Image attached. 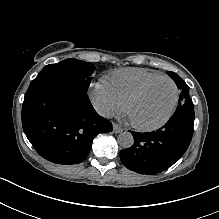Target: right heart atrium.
<instances>
[{
    "instance_id": "obj_1",
    "label": "right heart atrium",
    "mask_w": 219,
    "mask_h": 219,
    "mask_svg": "<svg viewBox=\"0 0 219 219\" xmlns=\"http://www.w3.org/2000/svg\"><path fill=\"white\" fill-rule=\"evenodd\" d=\"M89 95L95 109L103 117L110 118L122 113L123 104L113 95L104 81L94 84Z\"/></svg>"
}]
</instances>
